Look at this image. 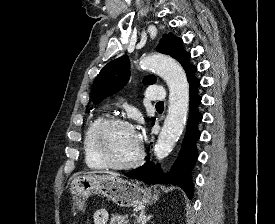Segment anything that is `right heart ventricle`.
<instances>
[{
  "mask_svg": "<svg viewBox=\"0 0 275 224\" xmlns=\"http://www.w3.org/2000/svg\"><path fill=\"white\" fill-rule=\"evenodd\" d=\"M105 119L104 115H97L89 121L86 126L83 138V153L84 161L88 168L92 170H102L107 166L100 160L97 154L94 151L92 138L93 133L99 123Z\"/></svg>",
  "mask_w": 275,
  "mask_h": 224,
  "instance_id": "e07e8e85",
  "label": "right heart ventricle"
}]
</instances>
